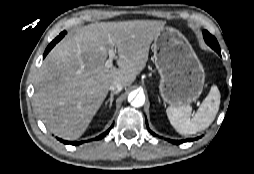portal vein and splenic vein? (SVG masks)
I'll return each instance as SVG.
<instances>
[{"label": "portal vein and splenic vein", "mask_w": 254, "mask_h": 174, "mask_svg": "<svg viewBox=\"0 0 254 174\" xmlns=\"http://www.w3.org/2000/svg\"><path fill=\"white\" fill-rule=\"evenodd\" d=\"M108 56L109 57H108L107 61L105 62V67L111 68L113 66V60L116 58V54L112 48L108 50Z\"/></svg>", "instance_id": "portal-vein-and-splenic-vein-1"}]
</instances>
